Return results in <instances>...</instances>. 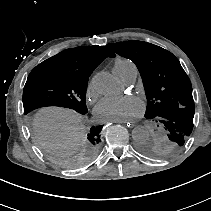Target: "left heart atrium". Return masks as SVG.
I'll list each match as a JSON object with an SVG mask.
<instances>
[{
  "label": "left heart atrium",
  "mask_w": 211,
  "mask_h": 211,
  "mask_svg": "<svg viewBox=\"0 0 211 211\" xmlns=\"http://www.w3.org/2000/svg\"><path fill=\"white\" fill-rule=\"evenodd\" d=\"M144 112L143 101L134 95L104 97L94 108L95 117L102 122L120 121L140 117Z\"/></svg>",
  "instance_id": "1"
}]
</instances>
